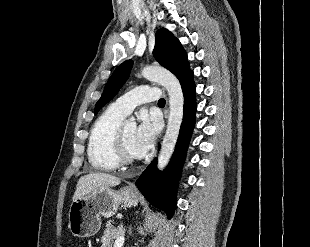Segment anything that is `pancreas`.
I'll use <instances>...</instances> for the list:
<instances>
[{"label": "pancreas", "instance_id": "obj_1", "mask_svg": "<svg viewBox=\"0 0 310 247\" xmlns=\"http://www.w3.org/2000/svg\"><path fill=\"white\" fill-rule=\"evenodd\" d=\"M122 233L121 226L115 228L111 221L106 223V229L104 230L103 236L101 238V247H114V240L117 239Z\"/></svg>", "mask_w": 310, "mask_h": 247}]
</instances>
